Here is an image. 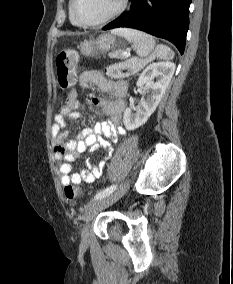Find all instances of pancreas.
Listing matches in <instances>:
<instances>
[{"label": "pancreas", "mask_w": 233, "mask_h": 284, "mask_svg": "<svg viewBox=\"0 0 233 284\" xmlns=\"http://www.w3.org/2000/svg\"><path fill=\"white\" fill-rule=\"evenodd\" d=\"M123 53V50L113 51L109 53V57L124 59L125 56L123 55ZM124 64L130 69L131 73H135L146 64V61L139 60L138 58H132L126 61Z\"/></svg>", "instance_id": "cf45deb5"}]
</instances>
